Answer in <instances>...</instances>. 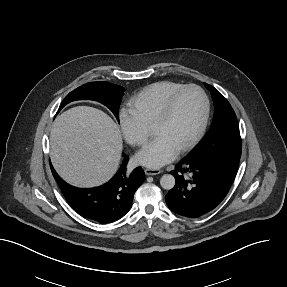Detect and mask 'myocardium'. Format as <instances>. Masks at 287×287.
<instances>
[{
  "label": "myocardium",
  "mask_w": 287,
  "mask_h": 287,
  "mask_svg": "<svg viewBox=\"0 0 287 287\" xmlns=\"http://www.w3.org/2000/svg\"><path fill=\"white\" fill-rule=\"evenodd\" d=\"M187 90H195L200 94L202 98L203 111H202L201 121L196 131L193 133L190 139L178 150L179 153H183L189 150L191 147H193L196 144V142L200 139V137L202 136V134L204 133L206 129L208 119H209L210 103H209V99L205 91L201 87L194 85V84L181 86L179 89L175 90L173 93H171L168 96L161 111L157 115L154 123L152 124V131H154V128L156 126L164 123L169 118L174 102L177 99V97Z\"/></svg>",
  "instance_id": "f54148a6"
}]
</instances>
